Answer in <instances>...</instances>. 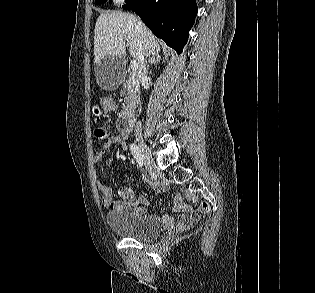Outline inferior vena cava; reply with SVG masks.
I'll return each mask as SVG.
<instances>
[{"label":"inferior vena cava","mask_w":315,"mask_h":293,"mask_svg":"<svg viewBox=\"0 0 315 293\" xmlns=\"http://www.w3.org/2000/svg\"><path fill=\"white\" fill-rule=\"evenodd\" d=\"M137 31H138L139 34H141L142 31H143V24H142V22L140 21L139 18H137ZM146 73H147L146 65L144 63V57L142 56L141 61L139 63V69H138V77H139L141 82L144 79H146ZM141 129H142L141 123L138 122L136 124V127H135V133L136 134H140L141 133Z\"/></svg>","instance_id":"inferior-vena-cava-1"}]
</instances>
